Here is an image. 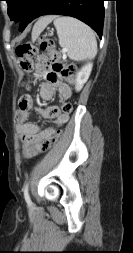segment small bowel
<instances>
[{"label": "small bowel", "instance_id": "small-bowel-1", "mask_svg": "<svg viewBox=\"0 0 133 253\" xmlns=\"http://www.w3.org/2000/svg\"><path fill=\"white\" fill-rule=\"evenodd\" d=\"M52 59V56H40L38 58L34 79L44 80L40 85V96L42 99L51 100L57 92L59 97L66 101L72 96V90L68 84L62 81L59 75L50 71L47 61H52ZM57 110V106L36 107L30 93H25L20 98L19 109L16 111V123L26 156L37 152L44 141L55 136L59 128L67 123L69 115L62 114ZM33 112L38 113L44 119H53L54 125L41 127L31 122L30 118Z\"/></svg>", "mask_w": 133, "mask_h": 253}]
</instances>
